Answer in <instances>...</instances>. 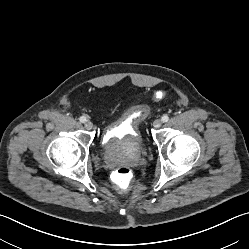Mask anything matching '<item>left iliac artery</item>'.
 I'll list each match as a JSON object with an SVG mask.
<instances>
[{"instance_id":"left-iliac-artery-1","label":"left iliac artery","mask_w":249,"mask_h":249,"mask_svg":"<svg viewBox=\"0 0 249 249\" xmlns=\"http://www.w3.org/2000/svg\"><path fill=\"white\" fill-rule=\"evenodd\" d=\"M162 122H167L169 120V116L168 115H164L161 118Z\"/></svg>"}]
</instances>
